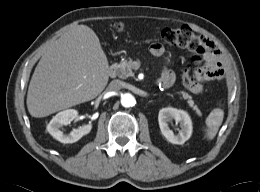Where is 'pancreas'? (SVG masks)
Here are the masks:
<instances>
[{"mask_svg": "<svg viewBox=\"0 0 260 192\" xmlns=\"http://www.w3.org/2000/svg\"><path fill=\"white\" fill-rule=\"evenodd\" d=\"M131 63L132 59L129 58L122 60L119 64H116V75L121 79H127L128 77L133 76L134 73L132 72ZM179 95L181 96V99L187 100L188 105L196 112L197 115H201V111L199 110L197 105H195L191 96H189L187 93L183 91L179 92Z\"/></svg>", "mask_w": 260, "mask_h": 192, "instance_id": "pancreas-1", "label": "pancreas"}]
</instances>
